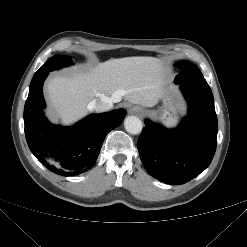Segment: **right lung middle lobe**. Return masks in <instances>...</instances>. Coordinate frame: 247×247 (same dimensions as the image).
Listing matches in <instances>:
<instances>
[{
	"label": "right lung middle lobe",
	"instance_id": "obj_1",
	"mask_svg": "<svg viewBox=\"0 0 247 247\" xmlns=\"http://www.w3.org/2000/svg\"><path fill=\"white\" fill-rule=\"evenodd\" d=\"M71 64L72 60L69 56L57 55L50 58L36 73H49Z\"/></svg>",
	"mask_w": 247,
	"mask_h": 247
}]
</instances>
